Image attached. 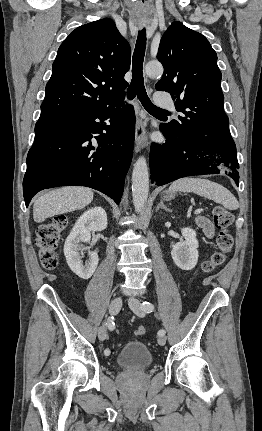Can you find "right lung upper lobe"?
<instances>
[{
	"label": "right lung upper lobe",
	"instance_id": "cb5924a9",
	"mask_svg": "<svg viewBox=\"0 0 262 431\" xmlns=\"http://www.w3.org/2000/svg\"><path fill=\"white\" fill-rule=\"evenodd\" d=\"M131 48L113 20L76 28L58 49L41 115L99 112L119 106Z\"/></svg>",
	"mask_w": 262,
	"mask_h": 431
}]
</instances>
